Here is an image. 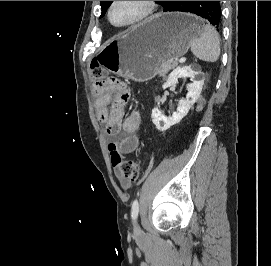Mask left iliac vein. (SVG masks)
<instances>
[{
	"label": "left iliac vein",
	"instance_id": "4c4485c4",
	"mask_svg": "<svg viewBox=\"0 0 271 266\" xmlns=\"http://www.w3.org/2000/svg\"><path fill=\"white\" fill-rule=\"evenodd\" d=\"M134 230L138 231L139 230V226L137 224L134 225Z\"/></svg>",
	"mask_w": 271,
	"mask_h": 266
}]
</instances>
